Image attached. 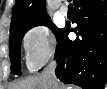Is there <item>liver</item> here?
<instances>
[{
  "label": "liver",
  "mask_w": 107,
  "mask_h": 89,
  "mask_svg": "<svg viewBox=\"0 0 107 89\" xmlns=\"http://www.w3.org/2000/svg\"><path fill=\"white\" fill-rule=\"evenodd\" d=\"M51 83L44 74L30 76L12 84L9 89H50ZM55 89H73L70 86L63 85L56 80Z\"/></svg>",
  "instance_id": "obj_1"
}]
</instances>
